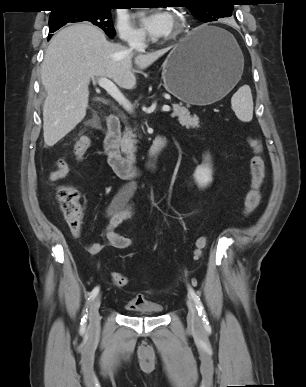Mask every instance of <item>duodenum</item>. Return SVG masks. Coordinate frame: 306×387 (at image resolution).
I'll use <instances>...</instances> for the list:
<instances>
[{"label":"duodenum","mask_w":306,"mask_h":387,"mask_svg":"<svg viewBox=\"0 0 306 387\" xmlns=\"http://www.w3.org/2000/svg\"><path fill=\"white\" fill-rule=\"evenodd\" d=\"M120 135V120L116 115H110L107 119V133L103 143L107 162L120 178L132 180L140 174V169L134 158L126 157L121 153ZM165 146L166 138L164 136L159 135L154 139L146 159L147 170L155 171L157 169V159Z\"/></svg>","instance_id":"obj_1"}]
</instances>
